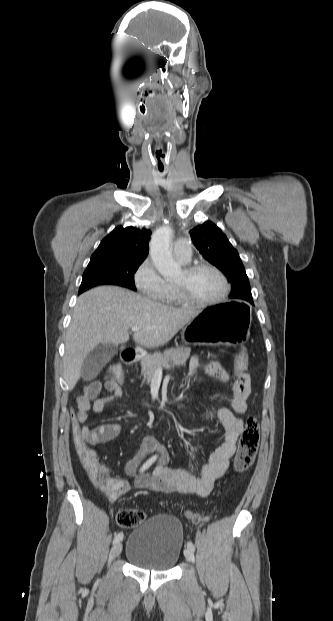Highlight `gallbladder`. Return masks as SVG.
I'll list each match as a JSON object with an SVG mask.
<instances>
[{"label": "gallbladder", "instance_id": "bac80fb5", "mask_svg": "<svg viewBox=\"0 0 333 621\" xmlns=\"http://www.w3.org/2000/svg\"><path fill=\"white\" fill-rule=\"evenodd\" d=\"M117 353V345L105 343L97 346L85 359L81 377L84 380H91Z\"/></svg>", "mask_w": 333, "mask_h": 621}]
</instances>
